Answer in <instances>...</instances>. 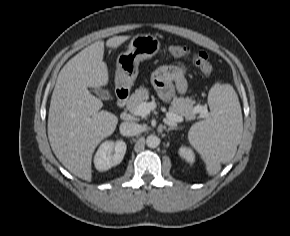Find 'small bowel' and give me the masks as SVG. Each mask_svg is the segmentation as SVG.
<instances>
[{
  "label": "small bowel",
  "mask_w": 290,
  "mask_h": 236,
  "mask_svg": "<svg viewBox=\"0 0 290 236\" xmlns=\"http://www.w3.org/2000/svg\"><path fill=\"white\" fill-rule=\"evenodd\" d=\"M153 84L164 101L187 91V69L180 64L163 65L153 73Z\"/></svg>",
  "instance_id": "small-bowel-1"
}]
</instances>
